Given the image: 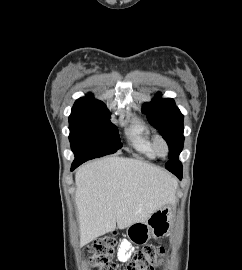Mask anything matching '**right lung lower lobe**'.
Listing matches in <instances>:
<instances>
[{"label":"right lung lower lobe","instance_id":"right-lung-lower-lobe-1","mask_svg":"<svg viewBox=\"0 0 242 270\" xmlns=\"http://www.w3.org/2000/svg\"><path fill=\"white\" fill-rule=\"evenodd\" d=\"M80 164L82 163H73L72 164V167H71V170H74L76 167H78Z\"/></svg>","mask_w":242,"mask_h":270}]
</instances>
